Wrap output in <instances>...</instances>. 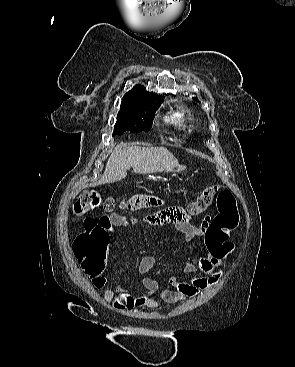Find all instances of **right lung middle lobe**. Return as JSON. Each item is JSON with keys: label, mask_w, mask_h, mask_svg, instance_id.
Listing matches in <instances>:
<instances>
[{"label": "right lung middle lobe", "mask_w": 295, "mask_h": 367, "mask_svg": "<svg viewBox=\"0 0 295 367\" xmlns=\"http://www.w3.org/2000/svg\"><path fill=\"white\" fill-rule=\"evenodd\" d=\"M160 104H136L128 110L119 111L117 122L114 125V135H122L125 131H149L153 116Z\"/></svg>", "instance_id": "dd1d6c3e"}]
</instances>
